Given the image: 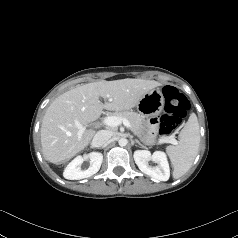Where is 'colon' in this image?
Listing matches in <instances>:
<instances>
[{
    "label": "colon",
    "mask_w": 238,
    "mask_h": 238,
    "mask_svg": "<svg viewBox=\"0 0 238 238\" xmlns=\"http://www.w3.org/2000/svg\"><path fill=\"white\" fill-rule=\"evenodd\" d=\"M162 93L165 98V107L159 127L162 135H168L182 124L190 103L187 97L173 86H165Z\"/></svg>",
    "instance_id": "5ec220e1"
}]
</instances>
